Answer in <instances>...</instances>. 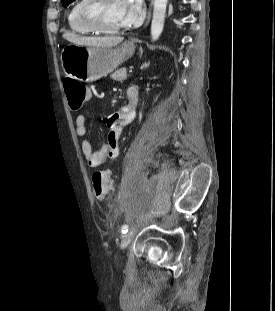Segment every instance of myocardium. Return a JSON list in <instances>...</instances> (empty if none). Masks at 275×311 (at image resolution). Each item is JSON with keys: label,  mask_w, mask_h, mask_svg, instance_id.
Here are the masks:
<instances>
[{"label": "myocardium", "mask_w": 275, "mask_h": 311, "mask_svg": "<svg viewBox=\"0 0 275 311\" xmlns=\"http://www.w3.org/2000/svg\"><path fill=\"white\" fill-rule=\"evenodd\" d=\"M108 0H84L77 8L76 17L86 27L93 32L113 35L124 29V26L105 27L99 20V13Z\"/></svg>", "instance_id": "1"}]
</instances>
